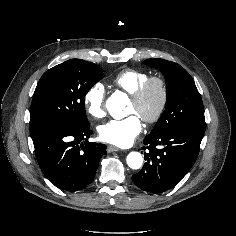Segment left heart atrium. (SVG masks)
<instances>
[{
  "label": "left heart atrium",
  "instance_id": "left-heart-atrium-1",
  "mask_svg": "<svg viewBox=\"0 0 236 236\" xmlns=\"http://www.w3.org/2000/svg\"><path fill=\"white\" fill-rule=\"evenodd\" d=\"M142 130V123L137 115L124 119L111 120L99 128L102 141L120 147H127L133 143Z\"/></svg>",
  "mask_w": 236,
  "mask_h": 236
}]
</instances>
